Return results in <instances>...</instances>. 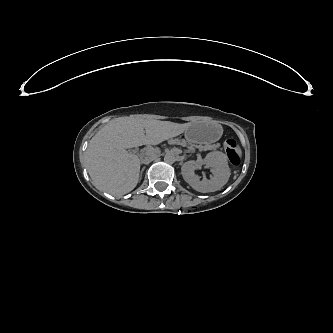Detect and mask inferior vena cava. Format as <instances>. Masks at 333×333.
Instances as JSON below:
<instances>
[{
  "mask_svg": "<svg viewBox=\"0 0 333 333\" xmlns=\"http://www.w3.org/2000/svg\"><path fill=\"white\" fill-rule=\"evenodd\" d=\"M156 157H157V155H153V156H151V157H149V158H147V159H144V160H143V163H144V164H148V163H150L151 161H153Z\"/></svg>",
  "mask_w": 333,
  "mask_h": 333,
  "instance_id": "602c4592",
  "label": "inferior vena cava"
}]
</instances>
